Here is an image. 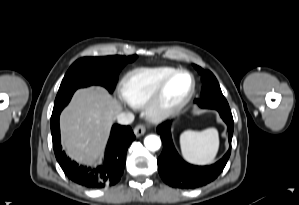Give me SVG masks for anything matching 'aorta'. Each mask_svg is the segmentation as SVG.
I'll list each match as a JSON object with an SVG mask.
<instances>
[{"instance_id": "obj_1", "label": "aorta", "mask_w": 299, "mask_h": 205, "mask_svg": "<svg viewBox=\"0 0 299 205\" xmlns=\"http://www.w3.org/2000/svg\"><path fill=\"white\" fill-rule=\"evenodd\" d=\"M144 145L150 151H157L161 147V140L156 135H148L144 139Z\"/></svg>"}]
</instances>
